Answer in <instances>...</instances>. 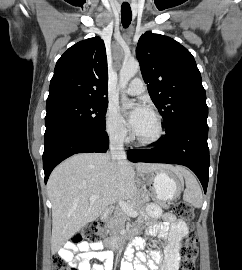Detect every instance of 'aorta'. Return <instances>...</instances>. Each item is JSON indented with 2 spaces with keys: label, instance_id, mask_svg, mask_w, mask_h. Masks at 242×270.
Masks as SVG:
<instances>
[{
  "label": "aorta",
  "instance_id": "obj_1",
  "mask_svg": "<svg viewBox=\"0 0 242 270\" xmlns=\"http://www.w3.org/2000/svg\"><path fill=\"white\" fill-rule=\"evenodd\" d=\"M140 66L138 61L124 62L119 73V87L125 89L131 78L138 72ZM124 101H127L125 95L122 96Z\"/></svg>",
  "mask_w": 242,
  "mask_h": 270
}]
</instances>
